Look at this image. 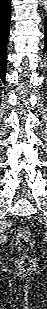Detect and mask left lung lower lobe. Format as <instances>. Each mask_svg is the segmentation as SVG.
<instances>
[{
  "mask_svg": "<svg viewBox=\"0 0 47 309\" xmlns=\"http://www.w3.org/2000/svg\"><path fill=\"white\" fill-rule=\"evenodd\" d=\"M45 46H44V53L47 51V17L45 18Z\"/></svg>",
  "mask_w": 47,
  "mask_h": 309,
  "instance_id": "obj_1",
  "label": "left lung lower lobe"
}]
</instances>
